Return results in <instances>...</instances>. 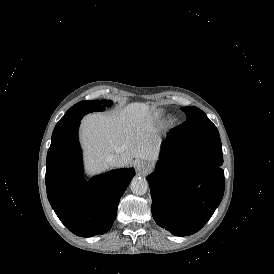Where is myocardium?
Segmentation results:
<instances>
[{"mask_svg": "<svg viewBox=\"0 0 274 274\" xmlns=\"http://www.w3.org/2000/svg\"><path fill=\"white\" fill-rule=\"evenodd\" d=\"M180 123V119L177 116H171L166 122V127L168 129L175 128Z\"/></svg>", "mask_w": 274, "mask_h": 274, "instance_id": "1", "label": "myocardium"}]
</instances>
